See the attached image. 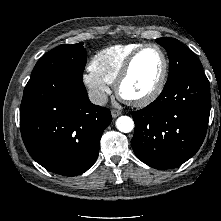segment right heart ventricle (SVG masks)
<instances>
[{"instance_id": "obj_1", "label": "right heart ventricle", "mask_w": 221, "mask_h": 221, "mask_svg": "<svg viewBox=\"0 0 221 221\" xmlns=\"http://www.w3.org/2000/svg\"><path fill=\"white\" fill-rule=\"evenodd\" d=\"M143 43L132 42L107 47L96 53L90 70L108 84H114L129 55Z\"/></svg>"}]
</instances>
